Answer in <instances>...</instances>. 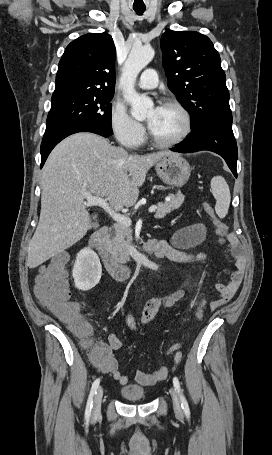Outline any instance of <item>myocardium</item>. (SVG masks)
Returning <instances> with one entry per match:
<instances>
[{"label": "myocardium", "mask_w": 272, "mask_h": 455, "mask_svg": "<svg viewBox=\"0 0 272 455\" xmlns=\"http://www.w3.org/2000/svg\"><path fill=\"white\" fill-rule=\"evenodd\" d=\"M161 105L173 107L181 114L182 119H183V129H182L181 133L172 140H168V141L160 140L154 136V134L151 132V130L149 131V138H150L151 143L156 147L171 148V147H174V146L182 143L189 136V134L191 133V130H192V119H191V115H190L189 111L187 110V108L182 103H180L179 101H177L175 99H165Z\"/></svg>", "instance_id": "1"}]
</instances>
